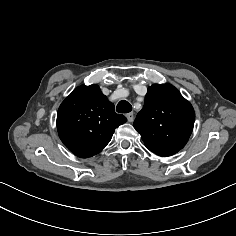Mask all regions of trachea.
<instances>
[{"mask_svg": "<svg viewBox=\"0 0 236 236\" xmlns=\"http://www.w3.org/2000/svg\"><path fill=\"white\" fill-rule=\"evenodd\" d=\"M132 110V106L129 102L121 100L116 107L118 113H129Z\"/></svg>", "mask_w": 236, "mask_h": 236, "instance_id": "trachea-1", "label": "trachea"}]
</instances>
